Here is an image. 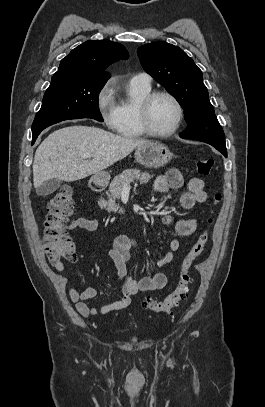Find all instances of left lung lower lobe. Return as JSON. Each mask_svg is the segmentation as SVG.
<instances>
[{
    "instance_id": "1",
    "label": "left lung lower lobe",
    "mask_w": 265,
    "mask_h": 407,
    "mask_svg": "<svg viewBox=\"0 0 265 407\" xmlns=\"http://www.w3.org/2000/svg\"><path fill=\"white\" fill-rule=\"evenodd\" d=\"M218 151H220L224 156L227 157V152H225L223 149L215 147Z\"/></svg>"
}]
</instances>
